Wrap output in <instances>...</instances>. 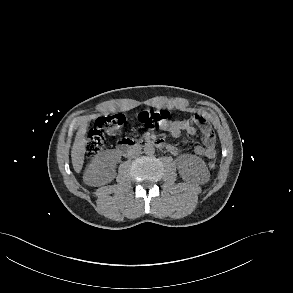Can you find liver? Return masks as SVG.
Listing matches in <instances>:
<instances>
[{"label": "liver", "instance_id": "obj_1", "mask_svg": "<svg viewBox=\"0 0 293 293\" xmlns=\"http://www.w3.org/2000/svg\"><path fill=\"white\" fill-rule=\"evenodd\" d=\"M86 131L87 125H83L79 128L71 150L72 164L76 173L81 171L84 163L87 144Z\"/></svg>", "mask_w": 293, "mask_h": 293}]
</instances>
